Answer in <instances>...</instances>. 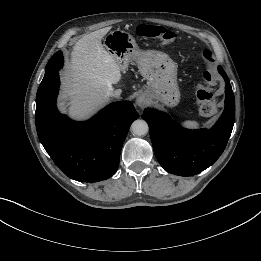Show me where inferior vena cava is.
Instances as JSON below:
<instances>
[{"instance_id": "obj_1", "label": "inferior vena cava", "mask_w": 261, "mask_h": 261, "mask_svg": "<svg viewBox=\"0 0 261 261\" xmlns=\"http://www.w3.org/2000/svg\"><path fill=\"white\" fill-rule=\"evenodd\" d=\"M119 95H120L119 91H112V92L109 93V96L116 97V98H118Z\"/></svg>"}]
</instances>
